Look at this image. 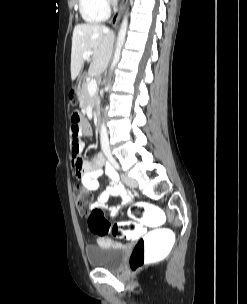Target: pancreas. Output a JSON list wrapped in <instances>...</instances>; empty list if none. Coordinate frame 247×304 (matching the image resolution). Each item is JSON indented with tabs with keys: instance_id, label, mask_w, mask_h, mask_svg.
Wrapping results in <instances>:
<instances>
[{
	"instance_id": "cf45deb5",
	"label": "pancreas",
	"mask_w": 247,
	"mask_h": 304,
	"mask_svg": "<svg viewBox=\"0 0 247 304\" xmlns=\"http://www.w3.org/2000/svg\"><path fill=\"white\" fill-rule=\"evenodd\" d=\"M88 80L83 83L82 89H78V95L80 99V107L86 109L88 105H91L92 109L95 111L99 105V98L97 93L90 95L87 89Z\"/></svg>"
}]
</instances>
